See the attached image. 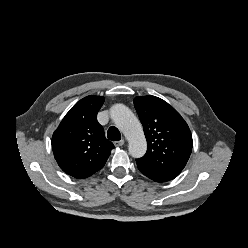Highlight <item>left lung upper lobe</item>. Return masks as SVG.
I'll use <instances>...</instances> for the list:
<instances>
[{
  "label": "left lung upper lobe",
  "instance_id": "5c2ea615",
  "mask_svg": "<svg viewBox=\"0 0 248 248\" xmlns=\"http://www.w3.org/2000/svg\"><path fill=\"white\" fill-rule=\"evenodd\" d=\"M134 104L147 140V152L138 160L179 175L193 146L187 123L171 105L158 97L138 96Z\"/></svg>",
  "mask_w": 248,
  "mask_h": 248
}]
</instances>
